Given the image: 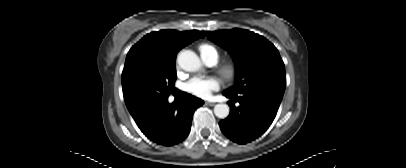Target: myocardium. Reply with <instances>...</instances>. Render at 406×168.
Returning <instances> with one entry per match:
<instances>
[{
	"mask_svg": "<svg viewBox=\"0 0 406 168\" xmlns=\"http://www.w3.org/2000/svg\"><path fill=\"white\" fill-rule=\"evenodd\" d=\"M217 72L222 77V79L226 82L234 81L239 73L238 64L234 60H226L222 62L218 68Z\"/></svg>",
	"mask_w": 406,
	"mask_h": 168,
	"instance_id": "1",
	"label": "myocardium"
}]
</instances>
